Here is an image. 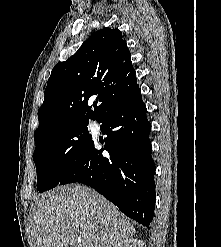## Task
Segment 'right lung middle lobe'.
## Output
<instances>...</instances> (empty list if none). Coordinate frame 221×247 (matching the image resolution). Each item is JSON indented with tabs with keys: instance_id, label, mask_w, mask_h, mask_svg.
Masks as SVG:
<instances>
[{
	"instance_id": "obj_1",
	"label": "right lung middle lobe",
	"mask_w": 221,
	"mask_h": 247,
	"mask_svg": "<svg viewBox=\"0 0 221 247\" xmlns=\"http://www.w3.org/2000/svg\"><path fill=\"white\" fill-rule=\"evenodd\" d=\"M89 121L62 124L38 137L33 160L37 171V190L57 186L92 139Z\"/></svg>"
}]
</instances>
